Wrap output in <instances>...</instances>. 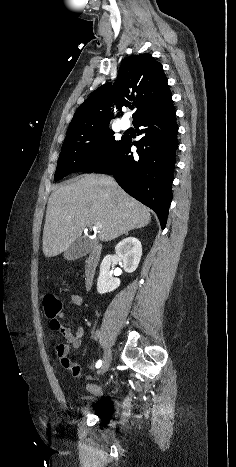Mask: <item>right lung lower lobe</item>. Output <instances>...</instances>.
Instances as JSON below:
<instances>
[{
	"label": "right lung lower lobe",
	"mask_w": 236,
	"mask_h": 467,
	"mask_svg": "<svg viewBox=\"0 0 236 467\" xmlns=\"http://www.w3.org/2000/svg\"><path fill=\"white\" fill-rule=\"evenodd\" d=\"M176 113L172 97L138 118L144 136L137 142L127 137L118 153L94 173L113 174L117 183L132 197L156 212L164 229L172 200L171 183L178 148ZM137 147V154L130 150Z\"/></svg>",
	"instance_id": "1"
}]
</instances>
